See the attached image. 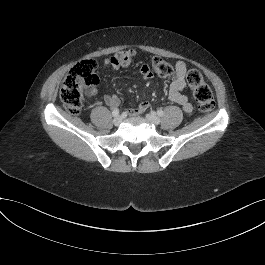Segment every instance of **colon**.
Here are the masks:
<instances>
[{"mask_svg":"<svg viewBox=\"0 0 265 265\" xmlns=\"http://www.w3.org/2000/svg\"><path fill=\"white\" fill-rule=\"evenodd\" d=\"M133 50H123L112 57L113 63L119 67H128L134 60ZM154 73L162 78L172 74V66L160 57H154L151 61ZM97 65L92 59L82 60L76 63L66 74L60 89V98L68 112L76 115L83 107V91L88 87L97 85ZM187 83L193 92L194 99L202 112H210L214 107V98L210 86L204 80L197 69L189 70Z\"/></svg>","mask_w":265,"mask_h":265,"instance_id":"1","label":"colon"}]
</instances>
